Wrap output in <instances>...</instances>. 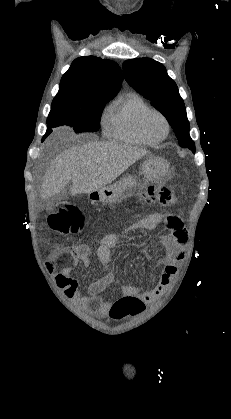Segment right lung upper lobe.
Segmentation results:
<instances>
[{"label":"right lung upper lobe","instance_id":"right-lung-upper-lobe-1","mask_svg":"<svg viewBox=\"0 0 231 419\" xmlns=\"http://www.w3.org/2000/svg\"><path fill=\"white\" fill-rule=\"evenodd\" d=\"M122 81V72L116 62L94 56L79 57L61 78L57 95L111 99L120 90Z\"/></svg>","mask_w":231,"mask_h":419}]
</instances>
